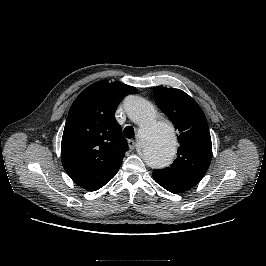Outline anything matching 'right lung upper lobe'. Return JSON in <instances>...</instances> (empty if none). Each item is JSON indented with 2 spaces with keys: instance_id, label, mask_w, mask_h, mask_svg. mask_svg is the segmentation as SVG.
Segmentation results:
<instances>
[{
  "instance_id": "right-lung-upper-lobe-1",
  "label": "right lung upper lobe",
  "mask_w": 266,
  "mask_h": 266,
  "mask_svg": "<svg viewBox=\"0 0 266 266\" xmlns=\"http://www.w3.org/2000/svg\"><path fill=\"white\" fill-rule=\"evenodd\" d=\"M134 87L97 82L73 102L66 120L61 159L71 179L88 191L108 183L118 172L128 150L121 127L114 121L122 98Z\"/></svg>"
}]
</instances>
